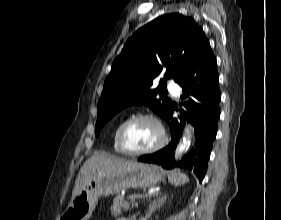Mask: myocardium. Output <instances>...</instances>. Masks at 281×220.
<instances>
[{"instance_id":"1","label":"myocardium","mask_w":281,"mask_h":220,"mask_svg":"<svg viewBox=\"0 0 281 220\" xmlns=\"http://www.w3.org/2000/svg\"><path fill=\"white\" fill-rule=\"evenodd\" d=\"M139 120H149V121L154 122L159 128L160 140L152 147L142 149V150H133V149H130L126 145L125 139H124V134H125L126 129L131 124H133L134 122H137ZM116 141H117V145H118L119 149L124 154L131 155V156H138V155L154 153V152L162 149L167 143V134H166L163 124L156 116L151 115V114L140 113V114L133 115L132 117L126 119L124 122L121 123V125L119 126L118 131H117Z\"/></svg>"}]
</instances>
